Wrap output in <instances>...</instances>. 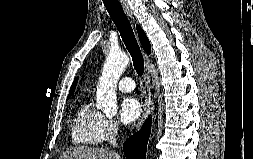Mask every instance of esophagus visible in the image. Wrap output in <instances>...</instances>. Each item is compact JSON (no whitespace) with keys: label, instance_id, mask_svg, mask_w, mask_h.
<instances>
[{"label":"esophagus","instance_id":"obj_1","mask_svg":"<svg viewBox=\"0 0 253 159\" xmlns=\"http://www.w3.org/2000/svg\"><path fill=\"white\" fill-rule=\"evenodd\" d=\"M123 6V9L126 13V15L130 18V20H134L133 15H132V11L129 7V5L126 3L125 0H119ZM145 58V71H144V82H145V86L147 89H149L150 87V66H151V61L150 58L147 54L144 55ZM149 105H150V95L147 94L145 101H144V105H143V114L142 117L137 125V130L140 129L144 119L146 118V116L148 115L149 112Z\"/></svg>","mask_w":253,"mask_h":159}]
</instances>
